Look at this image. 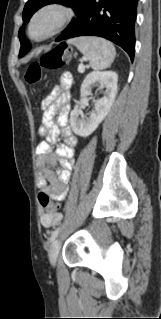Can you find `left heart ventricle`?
Returning <instances> with one entry per match:
<instances>
[{
  "label": "left heart ventricle",
  "instance_id": "1",
  "mask_svg": "<svg viewBox=\"0 0 161 319\" xmlns=\"http://www.w3.org/2000/svg\"><path fill=\"white\" fill-rule=\"evenodd\" d=\"M54 14H48L42 19L36 21L32 28V33L36 36L42 35L45 33L54 21Z\"/></svg>",
  "mask_w": 161,
  "mask_h": 319
}]
</instances>
